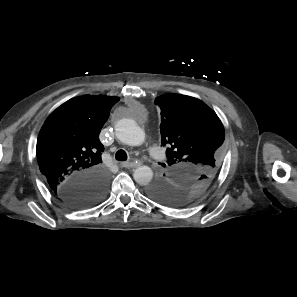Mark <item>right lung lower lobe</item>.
<instances>
[{
  "instance_id": "98d812e1",
  "label": "right lung lower lobe",
  "mask_w": 297,
  "mask_h": 297,
  "mask_svg": "<svg viewBox=\"0 0 297 297\" xmlns=\"http://www.w3.org/2000/svg\"><path fill=\"white\" fill-rule=\"evenodd\" d=\"M108 181V174L103 171L83 173L74 177L55 195L71 207H89L103 199Z\"/></svg>"
}]
</instances>
